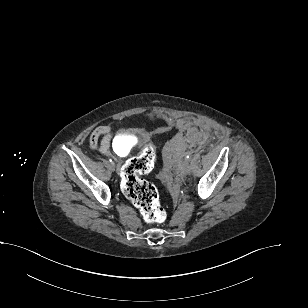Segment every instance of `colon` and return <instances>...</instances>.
I'll return each mask as SVG.
<instances>
[{
	"instance_id": "obj_1",
	"label": "colon",
	"mask_w": 308,
	"mask_h": 308,
	"mask_svg": "<svg viewBox=\"0 0 308 308\" xmlns=\"http://www.w3.org/2000/svg\"><path fill=\"white\" fill-rule=\"evenodd\" d=\"M165 128H158L157 132ZM155 149L152 144H146L139 156L128 160L121 169V189L124 195L139 210L147 224H161L166 219V213L159 202L155 186L142 178L154 167Z\"/></svg>"
}]
</instances>
